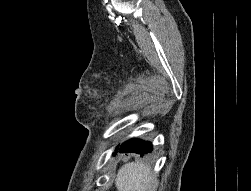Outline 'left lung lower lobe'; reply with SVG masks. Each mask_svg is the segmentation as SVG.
Returning <instances> with one entry per match:
<instances>
[{
    "instance_id": "0a47b994",
    "label": "left lung lower lobe",
    "mask_w": 251,
    "mask_h": 191,
    "mask_svg": "<svg viewBox=\"0 0 251 191\" xmlns=\"http://www.w3.org/2000/svg\"><path fill=\"white\" fill-rule=\"evenodd\" d=\"M120 153H137L143 156L144 153L152 151V145L150 142H145L137 139H130L124 142L120 147L117 146L115 152Z\"/></svg>"
}]
</instances>
